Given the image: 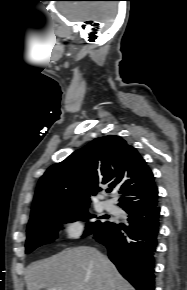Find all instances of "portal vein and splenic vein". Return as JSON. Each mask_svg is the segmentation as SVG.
I'll list each match as a JSON object with an SVG mask.
<instances>
[{
  "mask_svg": "<svg viewBox=\"0 0 187 290\" xmlns=\"http://www.w3.org/2000/svg\"><path fill=\"white\" fill-rule=\"evenodd\" d=\"M49 290H61V289H57V288H50Z\"/></svg>",
  "mask_w": 187,
  "mask_h": 290,
  "instance_id": "portal-vein-and-splenic-vein-1",
  "label": "portal vein and splenic vein"
}]
</instances>
